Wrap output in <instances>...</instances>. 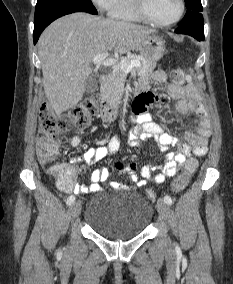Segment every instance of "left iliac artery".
I'll list each match as a JSON object with an SVG mask.
<instances>
[{"instance_id":"obj_1","label":"left iliac artery","mask_w":233,"mask_h":284,"mask_svg":"<svg viewBox=\"0 0 233 284\" xmlns=\"http://www.w3.org/2000/svg\"><path fill=\"white\" fill-rule=\"evenodd\" d=\"M164 202H165L166 204H168V205H172V199H171V197L168 196V195H166V196L164 197Z\"/></svg>"}]
</instances>
